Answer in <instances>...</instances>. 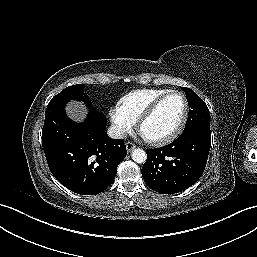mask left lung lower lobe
<instances>
[{"mask_svg": "<svg viewBox=\"0 0 257 257\" xmlns=\"http://www.w3.org/2000/svg\"><path fill=\"white\" fill-rule=\"evenodd\" d=\"M211 146V131L192 129L171 144L147 150L145 183L161 194L181 192L202 176Z\"/></svg>", "mask_w": 257, "mask_h": 257, "instance_id": "obj_1", "label": "left lung lower lobe"}]
</instances>
